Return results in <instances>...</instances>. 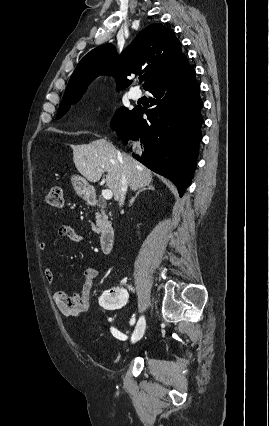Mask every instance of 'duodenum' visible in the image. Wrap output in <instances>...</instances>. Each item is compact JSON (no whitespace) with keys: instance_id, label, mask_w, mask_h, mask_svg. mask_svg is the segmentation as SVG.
Returning <instances> with one entry per match:
<instances>
[{"instance_id":"410a0bca","label":"duodenum","mask_w":269,"mask_h":426,"mask_svg":"<svg viewBox=\"0 0 269 426\" xmlns=\"http://www.w3.org/2000/svg\"><path fill=\"white\" fill-rule=\"evenodd\" d=\"M86 198H87V201L92 205H97L99 202L98 197L93 193H89ZM100 227H101L100 246H101L102 252L104 254H108L111 252L114 245L115 230L112 227L107 226L106 224H100Z\"/></svg>"}]
</instances>
